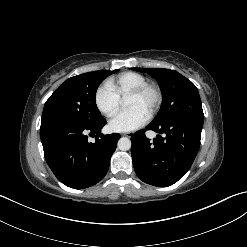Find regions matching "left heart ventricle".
<instances>
[{
    "label": "left heart ventricle",
    "mask_w": 247,
    "mask_h": 247,
    "mask_svg": "<svg viewBox=\"0 0 247 247\" xmlns=\"http://www.w3.org/2000/svg\"><path fill=\"white\" fill-rule=\"evenodd\" d=\"M152 101H153V95L151 93H147L142 97L128 96L125 99V106L127 108L139 107L148 113Z\"/></svg>",
    "instance_id": "1"
}]
</instances>
